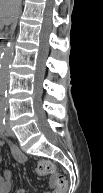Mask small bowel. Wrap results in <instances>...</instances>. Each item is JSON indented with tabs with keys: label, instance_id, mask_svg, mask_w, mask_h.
I'll use <instances>...</instances> for the list:
<instances>
[{
	"label": "small bowel",
	"instance_id": "1",
	"mask_svg": "<svg viewBox=\"0 0 103 193\" xmlns=\"http://www.w3.org/2000/svg\"><path fill=\"white\" fill-rule=\"evenodd\" d=\"M13 153L16 157V159L20 162H24L25 157L24 155L17 149L13 150ZM12 171L10 170H5L3 172V175L0 179V193H11L12 191ZM51 189L44 192V193H61L60 189L57 188L54 184V181L51 180ZM16 193H27V191L25 189H20L17 190Z\"/></svg>",
	"mask_w": 103,
	"mask_h": 193
}]
</instances>
